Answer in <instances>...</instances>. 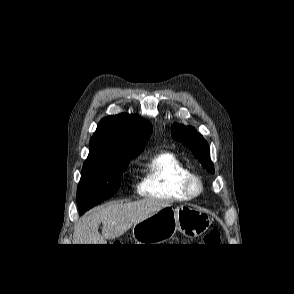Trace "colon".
I'll return each mask as SVG.
<instances>
[{
  "mask_svg": "<svg viewBox=\"0 0 294 294\" xmlns=\"http://www.w3.org/2000/svg\"><path fill=\"white\" fill-rule=\"evenodd\" d=\"M220 240V234L219 231L216 229H213L207 233L204 234L203 238H202V243L204 245L207 244H216L218 243Z\"/></svg>",
  "mask_w": 294,
  "mask_h": 294,
  "instance_id": "obj_1",
  "label": "colon"
}]
</instances>
